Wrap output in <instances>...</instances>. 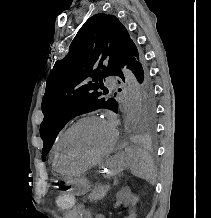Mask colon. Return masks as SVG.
Segmentation results:
<instances>
[{
	"mask_svg": "<svg viewBox=\"0 0 211 218\" xmlns=\"http://www.w3.org/2000/svg\"><path fill=\"white\" fill-rule=\"evenodd\" d=\"M57 205L63 209H73L75 208V197L68 188L59 189L57 195Z\"/></svg>",
	"mask_w": 211,
	"mask_h": 218,
	"instance_id": "obj_1",
	"label": "colon"
}]
</instances>
